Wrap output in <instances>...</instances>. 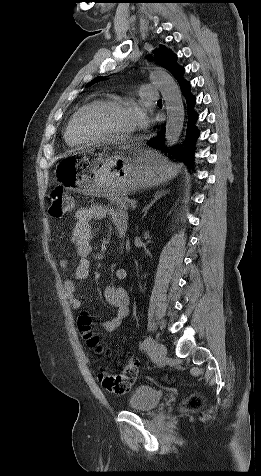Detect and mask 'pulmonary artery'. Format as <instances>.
Here are the masks:
<instances>
[{"label": "pulmonary artery", "instance_id": "obj_1", "mask_svg": "<svg viewBox=\"0 0 261 476\" xmlns=\"http://www.w3.org/2000/svg\"><path fill=\"white\" fill-rule=\"evenodd\" d=\"M140 96L148 101H157L159 99L157 88L151 84H144L140 87Z\"/></svg>", "mask_w": 261, "mask_h": 476}]
</instances>
